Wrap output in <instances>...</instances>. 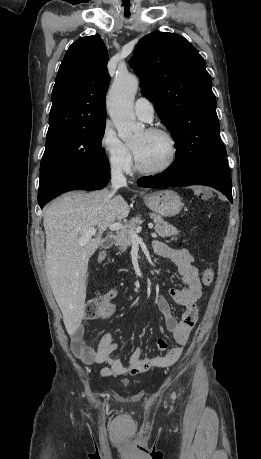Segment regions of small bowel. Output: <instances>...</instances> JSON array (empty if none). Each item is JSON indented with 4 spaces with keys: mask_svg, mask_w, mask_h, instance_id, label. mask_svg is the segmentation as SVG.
Instances as JSON below:
<instances>
[{
    "mask_svg": "<svg viewBox=\"0 0 261 459\" xmlns=\"http://www.w3.org/2000/svg\"><path fill=\"white\" fill-rule=\"evenodd\" d=\"M153 248L156 254L171 260L182 277L183 286L168 290L169 297L185 308L182 317L177 319L171 312L167 299L163 296L157 298V306L165 318L166 327L172 335L175 343L168 349L165 340H158L160 353L154 356H144L140 347H137L131 354L128 361L114 357L113 352L118 348L113 334L102 333L97 335L94 346L87 344L84 340V327L82 324H75L68 328L71 337V349L74 355L87 365L107 364L101 369L103 377H117L119 375H135L148 370L151 367H168L175 364L184 352L190 334L198 319L197 302L202 294V287L199 279L198 269L194 266V256L186 249L172 248L167 244L155 241ZM105 256L104 253H100ZM112 299L107 306L101 309L98 317H108L115 311L112 303L117 296V289L108 291Z\"/></svg>",
    "mask_w": 261,
    "mask_h": 459,
    "instance_id": "small-bowel-1",
    "label": "small bowel"
}]
</instances>
